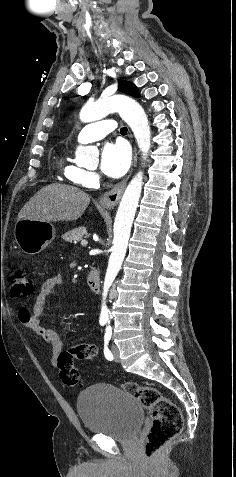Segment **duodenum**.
I'll use <instances>...</instances> for the list:
<instances>
[{"label": "duodenum", "mask_w": 236, "mask_h": 477, "mask_svg": "<svg viewBox=\"0 0 236 477\" xmlns=\"http://www.w3.org/2000/svg\"><path fill=\"white\" fill-rule=\"evenodd\" d=\"M87 283L89 286V289L93 293H100L101 291V277H100V272L96 269L93 268L87 275Z\"/></svg>", "instance_id": "1"}]
</instances>
